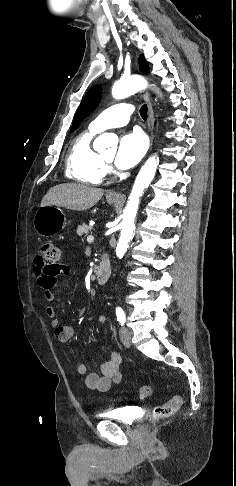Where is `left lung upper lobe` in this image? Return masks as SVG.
<instances>
[{
	"instance_id": "5c2ea615",
	"label": "left lung upper lobe",
	"mask_w": 236,
	"mask_h": 486,
	"mask_svg": "<svg viewBox=\"0 0 236 486\" xmlns=\"http://www.w3.org/2000/svg\"><path fill=\"white\" fill-rule=\"evenodd\" d=\"M140 71L149 72V66L143 55L139 56ZM102 97V88L100 85L93 86L83 98L73 121L71 132L98 106Z\"/></svg>"
}]
</instances>
